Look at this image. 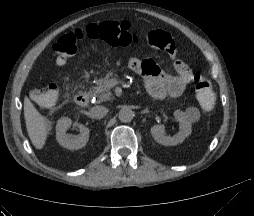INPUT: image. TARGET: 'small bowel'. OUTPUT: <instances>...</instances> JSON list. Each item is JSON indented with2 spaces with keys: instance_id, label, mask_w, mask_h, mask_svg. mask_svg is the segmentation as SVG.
<instances>
[{
  "instance_id": "small-bowel-1",
  "label": "small bowel",
  "mask_w": 254,
  "mask_h": 216,
  "mask_svg": "<svg viewBox=\"0 0 254 216\" xmlns=\"http://www.w3.org/2000/svg\"><path fill=\"white\" fill-rule=\"evenodd\" d=\"M146 42L152 50L163 52L168 64L175 69V74L166 72L156 66L152 60L130 58L129 67L144 74L148 93L158 99L177 98L181 96L192 80V71L176 53L175 42L166 30L151 29L145 35Z\"/></svg>"
}]
</instances>
